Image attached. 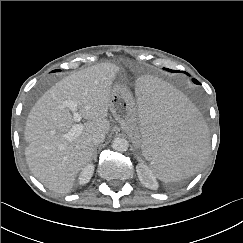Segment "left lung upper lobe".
Here are the masks:
<instances>
[{
	"instance_id": "5c2ea615",
	"label": "left lung upper lobe",
	"mask_w": 243,
	"mask_h": 243,
	"mask_svg": "<svg viewBox=\"0 0 243 243\" xmlns=\"http://www.w3.org/2000/svg\"><path fill=\"white\" fill-rule=\"evenodd\" d=\"M166 70H168L170 72H175L174 70H169V69H166ZM193 82L196 83V84H199V82L197 80H195V79H193Z\"/></svg>"
}]
</instances>
